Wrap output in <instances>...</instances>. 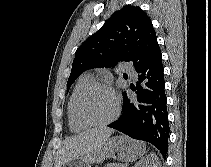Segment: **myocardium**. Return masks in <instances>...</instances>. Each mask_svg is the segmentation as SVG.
Here are the masks:
<instances>
[{"mask_svg":"<svg viewBox=\"0 0 211 167\" xmlns=\"http://www.w3.org/2000/svg\"><path fill=\"white\" fill-rule=\"evenodd\" d=\"M93 88L106 89L107 91H109L111 93V95L114 99V105H115L114 113L107 120L93 121V120L86 118L81 113V110H80L81 99L89 90H91ZM73 110H74V115H75L76 119L84 125L95 126V127L106 126V125L111 124L118 118L119 113H120V99H119L118 94L108 83H106L104 81H100V80H91L76 95Z\"/></svg>","mask_w":211,"mask_h":167,"instance_id":"obj_1","label":"myocardium"}]
</instances>
